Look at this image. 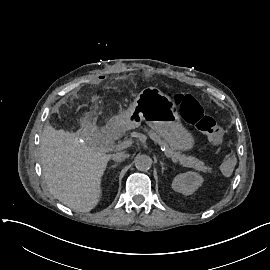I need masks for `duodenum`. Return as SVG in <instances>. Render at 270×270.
<instances>
[{"label": "duodenum", "instance_id": "1", "mask_svg": "<svg viewBox=\"0 0 270 270\" xmlns=\"http://www.w3.org/2000/svg\"><path fill=\"white\" fill-rule=\"evenodd\" d=\"M123 128V122L121 120H112L107 124L103 131V142L105 145H110L114 143L120 135V132Z\"/></svg>", "mask_w": 270, "mask_h": 270}]
</instances>
